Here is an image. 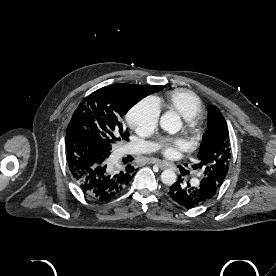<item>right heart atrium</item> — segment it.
Wrapping results in <instances>:
<instances>
[{
  "mask_svg": "<svg viewBox=\"0 0 276 276\" xmlns=\"http://www.w3.org/2000/svg\"><path fill=\"white\" fill-rule=\"evenodd\" d=\"M127 122L138 134L147 136L152 134L159 122L160 107L157 101L143 99L135 104L127 113Z\"/></svg>",
  "mask_w": 276,
  "mask_h": 276,
  "instance_id": "d8ad5b80",
  "label": "right heart atrium"
}]
</instances>
